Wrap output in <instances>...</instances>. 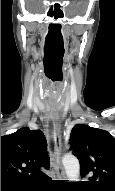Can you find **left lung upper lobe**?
I'll return each mask as SVG.
<instances>
[{
  "instance_id": "obj_1",
  "label": "left lung upper lobe",
  "mask_w": 115,
  "mask_h": 191,
  "mask_svg": "<svg viewBox=\"0 0 115 191\" xmlns=\"http://www.w3.org/2000/svg\"><path fill=\"white\" fill-rule=\"evenodd\" d=\"M71 150L80 161L82 186L95 191H115V138L107 131L77 124L71 131Z\"/></svg>"
}]
</instances>
